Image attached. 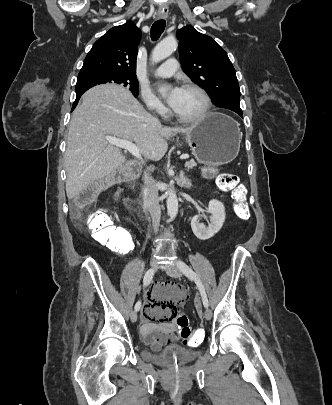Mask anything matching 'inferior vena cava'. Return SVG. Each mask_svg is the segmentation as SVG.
<instances>
[{
    "label": "inferior vena cava",
    "instance_id": "obj_1",
    "mask_svg": "<svg viewBox=\"0 0 332 405\" xmlns=\"http://www.w3.org/2000/svg\"><path fill=\"white\" fill-rule=\"evenodd\" d=\"M145 202L152 217L154 224L157 226L160 221L161 209L158 202V185L154 180L145 174Z\"/></svg>",
    "mask_w": 332,
    "mask_h": 405
}]
</instances>
